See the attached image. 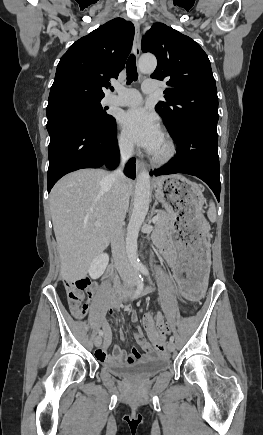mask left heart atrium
I'll list each match as a JSON object with an SVG mask.
<instances>
[{
  "instance_id": "1",
  "label": "left heart atrium",
  "mask_w": 263,
  "mask_h": 435,
  "mask_svg": "<svg viewBox=\"0 0 263 435\" xmlns=\"http://www.w3.org/2000/svg\"><path fill=\"white\" fill-rule=\"evenodd\" d=\"M120 122L127 138L149 152H155L163 141L157 118L142 108L125 111Z\"/></svg>"
}]
</instances>
